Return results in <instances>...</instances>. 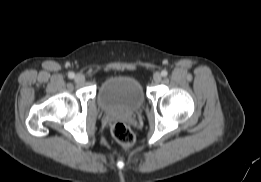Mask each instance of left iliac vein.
<instances>
[{
	"instance_id": "left-iliac-vein-1",
	"label": "left iliac vein",
	"mask_w": 261,
	"mask_h": 182,
	"mask_svg": "<svg viewBox=\"0 0 261 182\" xmlns=\"http://www.w3.org/2000/svg\"><path fill=\"white\" fill-rule=\"evenodd\" d=\"M161 79H162V75L159 72H155L153 74V81L155 83H159L161 81Z\"/></svg>"
}]
</instances>
